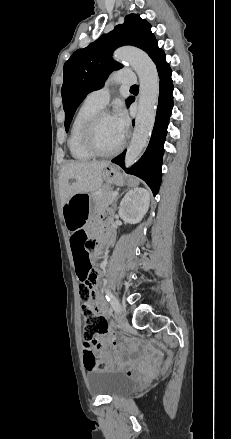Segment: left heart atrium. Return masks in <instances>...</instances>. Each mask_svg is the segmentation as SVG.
Instances as JSON below:
<instances>
[{"mask_svg":"<svg viewBox=\"0 0 231 439\" xmlns=\"http://www.w3.org/2000/svg\"><path fill=\"white\" fill-rule=\"evenodd\" d=\"M113 124L116 128V131L118 133V136L121 141L125 138L128 132L129 128V119L126 115L125 111L123 109H118L113 115H112Z\"/></svg>","mask_w":231,"mask_h":439,"instance_id":"left-heart-atrium-1","label":"left heart atrium"}]
</instances>
